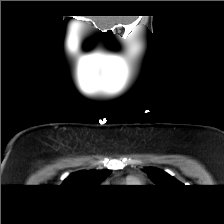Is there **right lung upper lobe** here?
Instances as JSON below:
<instances>
[{
    "mask_svg": "<svg viewBox=\"0 0 224 224\" xmlns=\"http://www.w3.org/2000/svg\"><path fill=\"white\" fill-rule=\"evenodd\" d=\"M110 173V170H81L70 174L64 180L63 185L71 188L98 186Z\"/></svg>",
    "mask_w": 224,
    "mask_h": 224,
    "instance_id": "1",
    "label": "right lung upper lobe"
}]
</instances>
